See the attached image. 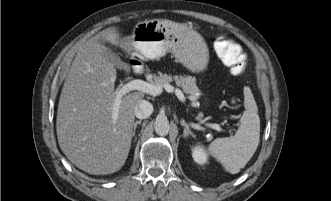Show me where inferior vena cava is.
Returning a JSON list of instances; mask_svg holds the SVG:
<instances>
[{"label": "inferior vena cava", "mask_w": 331, "mask_h": 201, "mask_svg": "<svg viewBox=\"0 0 331 201\" xmlns=\"http://www.w3.org/2000/svg\"><path fill=\"white\" fill-rule=\"evenodd\" d=\"M153 112V105L146 100H141L135 107L134 114L139 119L148 118Z\"/></svg>", "instance_id": "602c4592"}]
</instances>
